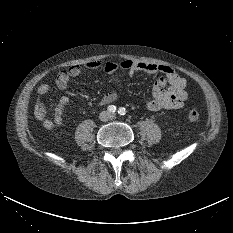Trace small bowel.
Instances as JSON below:
<instances>
[{"label": "small bowel", "mask_w": 233, "mask_h": 233, "mask_svg": "<svg viewBox=\"0 0 233 233\" xmlns=\"http://www.w3.org/2000/svg\"><path fill=\"white\" fill-rule=\"evenodd\" d=\"M84 69L101 70L106 73L124 71L129 75L136 72L147 74H160L155 82L151 95L145 99L146 108L150 111L162 109H179L182 108L188 98L186 91V79L180 76L172 67L158 65L149 62H137L132 60H123L120 62H105L103 60H94L87 62L84 66L74 65L60 72L56 79V86L64 90L73 78L79 77ZM50 91L49 84H41L37 90V101L35 105V117L47 129H53L63 124V112L69 102L67 96L59 98L54 108L53 119H49L46 113L45 97ZM118 97V92L113 90L104 94L98 105L103 106L114 102Z\"/></svg>", "instance_id": "small-bowel-1"}]
</instances>
